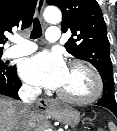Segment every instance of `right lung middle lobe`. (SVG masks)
<instances>
[{"instance_id": "right-lung-middle-lobe-1", "label": "right lung middle lobe", "mask_w": 117, "mask_h": 131, "mask_svg": "<svg viewBox=\"0 0 117 131\" xmlns=\"http://www.w3.org/2000/svg\"><path fill=\"white\" fill-rule=\"evenodd\" d=\"M2 55V52H0V57ZM8 67L6 66V64H4L3 61L0 60V73H5L6 71H8Z\"/></svg>"}]
</instances>
